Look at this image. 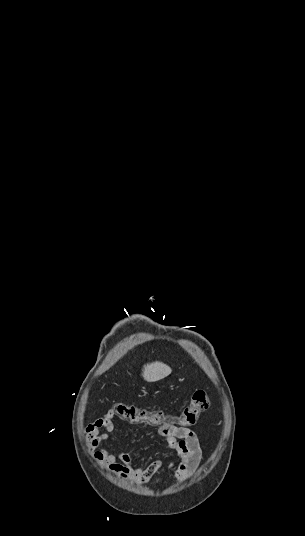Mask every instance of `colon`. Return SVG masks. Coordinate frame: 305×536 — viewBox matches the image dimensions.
<instances>
[{"instance_id": "5ec220e1", "label": "colon", "mask_w": 305, "mask_h": 536, "mask_svg": "<svg viewBox=\"0 0 305 536\" xmlns=\"http://www.w3.org/2000/svg\"><path fill=\"white\" fill-rule=\"evenodd\" d=\"M209 395L206 390L200 389L194 393L192 402L186 406L180 416H170L163 411L158 414L154 411L139 408L131 403H122L115 407L118 422L142 421L163 425L177 424L182 427H193L197 424L199 416L208 409Z\"/></svg>"}]
</instances>
